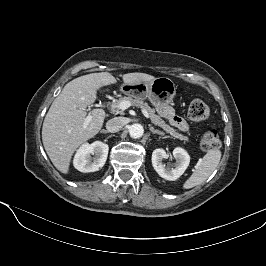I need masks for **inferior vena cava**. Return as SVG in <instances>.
<instances>
[{
	"label": "inferior vena cava",
	"instance_id": "1",
	"mask_svg": "<svg viewBox=\"0 0 266 266\" xmlns=\"http://www.w3.org/2000/svg\"><path fill=\"white\" fill-rule=\"evenodd\" d=\"M125 125V119L123 117H115L107 121L106 129L108 132H118Z\"/></svg>",
	"mask_w": 266,
	"mask_h": 266
}]
</instances>
